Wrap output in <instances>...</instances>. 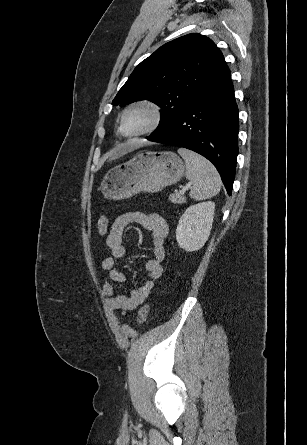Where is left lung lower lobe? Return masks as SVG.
<instances>
[{
  "instance_id": "left-lung-lower-lobe-1",
  "label": "left lung lower lobe",
  "mask_w": 307,
  "mask_h": 445,
  "mask_svg": "<svg viewBox=\"0 0 307 445\" xmlns=\"http://www.w3.org/2000/svg\"><path fill=\"white\" fill-rule=\"evenodd\" d=\"M238 131V107L229 73L168 128L147 139L184 147L206 157L217 168L231 195L238 154Z\"/></svg>"
}]
</instances>
